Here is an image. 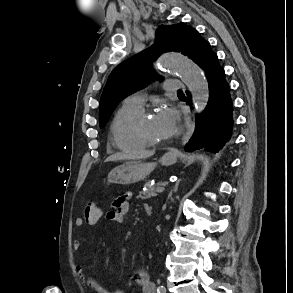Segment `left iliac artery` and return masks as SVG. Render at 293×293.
<instances>
[{
    "instance_id": "left-iliac-artery-1",
    "label": "left iliac artery",
    "mask_w": 293,
    "mask_h": 293,
    "mask_svg": "<svg viewBox=\"0 0 293 293\" xmlns=\"http://www.w3.org/2000/svg\"><path fill=\"white\" fill-rule=\"evenodd\" d=\"M158 293H166V288L164 286H159L157 289Z\"/></svg>"
}]
</instances>
